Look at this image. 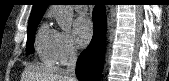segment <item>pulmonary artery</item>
Segmentation results:
<instances>
[{
	"mask_svg": "<svg viewBox=\"0 0 169 81\" xmlns=\"http://www.w3.org/2000/svg\"><path fill=\"white\" fill-rule=\"evenodd\" d=\"M78 8H79V12L80 13H84L85 12V8L83 6H79Z\"/></svg>",
	"mask_w": 169,
	"mask_h": 81,
	"instance_id": "obj_1",
	"label": "pulmonary artery"
}]
</instances>
